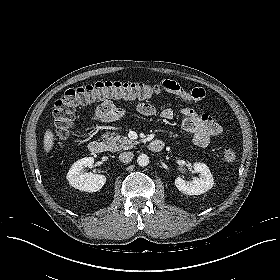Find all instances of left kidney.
Here are the masks:
<instances>
[{"label":"left kidney","instance_id":"5707ae66","mask_svg":"<svg viewBox=\"0 0 280 280\" xmlns=\"http://www.w3.org/2000/svg\"><path fill=\"white\" fill-rule=\"evenodd\" d=\"M193 170L199 173V177H194L190 181H185L178 177L175 179V186L183 194L200 195L210 190L214 185L213 175L205 163L195 162Z\"/></svg>","mask_w":280,"mask_h":280}]
</instances>
